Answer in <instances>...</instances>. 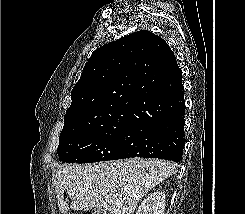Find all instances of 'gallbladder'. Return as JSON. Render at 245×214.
I'll return each instance as SVG.
<instances>
[{
    "label": "gallbladder",
    "mask_w": 245,
    "mask_h": 214,
    "mask_svg": "<svg viewBox=\"0 0 245 214\" xmlns=\"http://www.w3.org/2000/svg\"><path fill=\"white\" fill-rule=\"evenodd\" d=\"M92 214H107V210L104 208H97L93 211Z\"/></svg>",
    "instance_id": "gallbladder-1"
}]
</instances>
